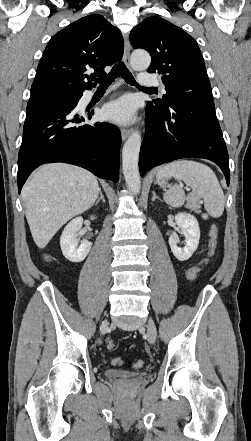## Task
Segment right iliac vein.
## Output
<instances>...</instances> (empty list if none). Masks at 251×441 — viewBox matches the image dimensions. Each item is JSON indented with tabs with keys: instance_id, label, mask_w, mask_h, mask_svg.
Instances as JSON below:
<instances>
[{
	"instance_id": "right-iliac-vein-1",
	"label": "right iliac vein",
	"mask_w": 251,
	"mask_h": 441,
	"mask_svg": "<svg viewBox=\"0 0 251 441\" xmlns=\"http://www.w3.org/2000/svg\"><path fill=\"white\" fill-rule=\"evenodd\" d=\"M107 328H108V322L104 321L101 325V331L106 332Z\"/></svg>"
}]
</instances>
